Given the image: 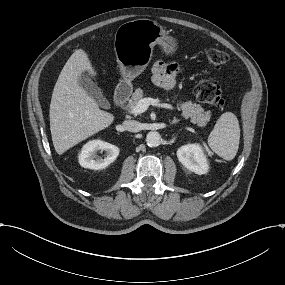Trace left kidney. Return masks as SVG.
I'll return each instance as SVG.
<instances>
[{"instance_id": "left-kidney-1", "label": "left kidney", "mask_w": 285, "mask_h": 285, "mask_svg": "<svg viewBox=\"0 0 285 285\" xmlns=\"http://www.w3.org/2000/svg\"><path fill=\"white\" fill-rule=\"evenodd\" d=\"M177 156L179 161L190 171L199 175L207 172L208 164L198 145L181 147Z\"/></svg>"}]
</instances>
